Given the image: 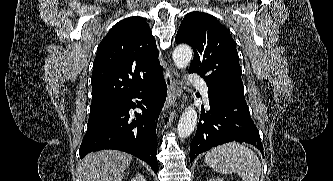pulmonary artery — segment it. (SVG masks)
<instances>
[{"label": "pulmonary artery", "instance_id": "e3ab8cb5", "mask_svg": "<svg viewBox=\"0 0 333 181\" xmlns=\"http://www.w3.org/2000/svg\"><path fill=\"white\" fill-rule=\"evenodd\" d=\"M188 81L190 82V84L195 85L198 88H200L203 98L205 100L208 99V87L200 76H198L196 74H190L188 76Z\"/></svg>", "mask_w": 333, "mask_h": 181}]
</instances>
